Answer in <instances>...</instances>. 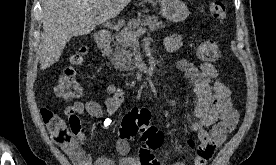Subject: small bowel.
<instances>
[{
  "instance_id": "1",
  "label": "small bowel",
  "mask_w": 276,
  "mask_h": 165,
  "mask_svg": "<svg viewBox=\"0 0 276 165\" xmlns=\"http://www.w3.org/2000/svg\"><path fill=\"white\" fill-rule=\"evenodd\" d=\"M182 44L181 34H174L165 39V46L170 52L178 50ZM176 66L192 85L193 119L190 121V129L200 140L193 165H207L215 150L225 141L227 134L235 128L239 114L232 105L230 89L219 79V72L214 64L203 62L196 66L188 60L179 59ZM105 93L107 98L104 106L95 100H88L85 103L77 101L64 109L69 124L79 126L75 142L60 144L74 165H114V161L109 157L92 158L82 147L86 135L81 125V116L87 113L93 118L100 119L103 126H110L113 122L112 117L123 103L124 93L119 86L110 84L106 87ZM51 112L47 107L41 108V115L49 132L50 123L45 114ZM115 151L118 156V165H164L154 156L153 152L139 151L136 157H130L129 142L126 139L116 141ZM169 165L185 164L178 161Z\"/></svg>"
}]
</instances>
